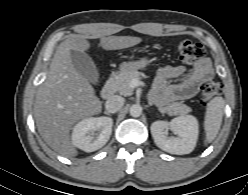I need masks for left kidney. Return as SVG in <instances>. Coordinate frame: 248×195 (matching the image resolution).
Wrapping results in <instances>:
<instances>
[{
    "mask_svg": "<svg viewBox=\"0 0 248 195\" xmlns=\"http://www.w3.org/2000/svg\"><path fill=\"white\" fill-rule=\"evenodd\" d=\"M167 129H170L177 137H169ZM151 133L155 144L160 149L171 154H189L196 146L199 124L192 115L179 116L169 123L160 120L153 122Z\"/></svg>",
    "mask_w": 248,
    "mask_h": 195,
    "instance_id": "5707ae66",
    "label": "left kidney"
}]
</instances>
